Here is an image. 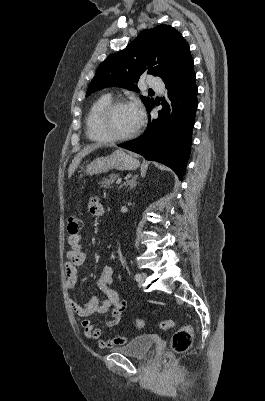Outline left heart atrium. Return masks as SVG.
<instances>
[{
    "label": "left heart atrium",
    "mask_w": 265,
    "mask_h": 401,
    "mask_svg": "<svg viewBox=\"0 0 265 401\" xmlns=\"http://www.w3.org/2000/svg\"><path fill=\"white\" fill-rule=\"evenodd\" d=\"M132 111L134 115L136 116L137 122H139L141 115H142V108L139 103H134L131 105Z\"/></svg>",
    "instance_id": "left-heart-atrium-1"
}]
</instances>
